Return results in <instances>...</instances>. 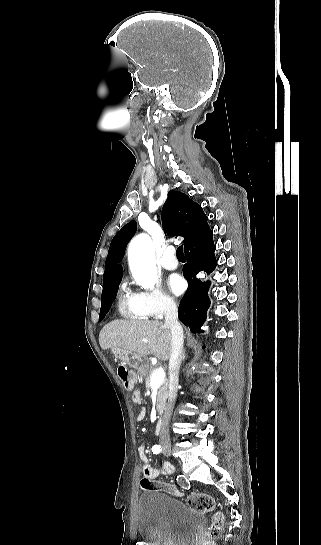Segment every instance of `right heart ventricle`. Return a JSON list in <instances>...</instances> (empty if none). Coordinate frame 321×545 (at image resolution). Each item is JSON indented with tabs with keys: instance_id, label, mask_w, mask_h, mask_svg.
Listing matches in <instances>:
<instances>
[{
	"instance_id": "right-heart-ventricle-1",
	"label": "right heart ventricle",
	"mask_w": 321,
	"mask_h": 545,
	"mask_svg": "<svg viewBox=\"0 0 321 545\" xmlns=\"http://www.w3.org/2000/svg\"><path fill=\"white\" fill-rule=\"evenodd\" d=\"M118 312L121 317L132 320V321H141L145 320L144 317L138 312L133 298L130 295L122 293L118 298Z\"/></svg>"
}]
</instances>
